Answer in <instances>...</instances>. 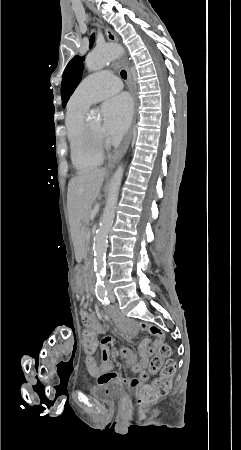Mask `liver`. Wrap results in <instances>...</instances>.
I'll return each instance as SVG.
<instances>
[{
  "label": "liver",
  "mask_w": 241,
  "mask_h": 450,
  "mask_svg": "<svg viewBox=\"0 0 241 450\" xmlns=\"http://www.w3.org/2000/svg\"><path fill=\"white\" fill-rule=\"evenodd\" d=\"M106 170H92L89 174H78L68 186V204L70 224L74 228L75 238L80 240V228L89 222L94 200L102 196Z\"/></svg>",
  "instance_id": "liver-1"
}]
</instances>
